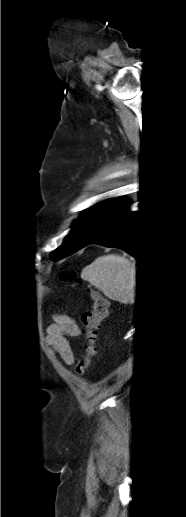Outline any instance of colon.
<instances>
[{
    "label": "colon",
    "mask_w": 186,
    "mask_h": 517,
    "mask_svg": "<svg viewBox=\"0 0 186 517\" xmlns=\"http://www.w3.org/2000/svg\"><path fill=\"white\" fill-rule=\"evenodd\" d=\"M64 281H78L77 273L73 270H65L61 274ZM90 297L92 306L89 311L82 314L81 321L85 342L83 345V354L75 367L77 374L82 375L90 365L93 356L96 353V340L101 322L108 315L109 303L99 292L90 289Z\"/></svg>",
    "instance_id": "1"
}]
</instances>
